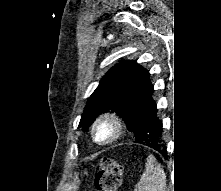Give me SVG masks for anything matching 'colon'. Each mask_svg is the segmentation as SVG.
<instances>
[{
  "mask_svg": "<svg viewBox=\"0 0 221 191\" xmlns=\"http://www.w3.org/2000/svg\"><path fill=\"white\" fill-rule=\"evenodd\" d=\"M122 180V166L114 158L103 157L95 178L97 191H117Z\"/></svg>",
  "mask_w": 221,
  "mask_h": 191,
  "instance_id": "5ec220e1",
  "label": "colon"
}]
</instances>
